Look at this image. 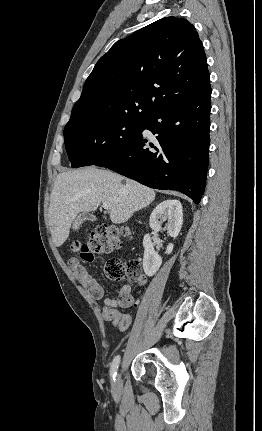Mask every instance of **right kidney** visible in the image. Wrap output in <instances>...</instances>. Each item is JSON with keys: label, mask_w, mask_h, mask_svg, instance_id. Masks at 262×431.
<instances>
[{"label": "right kidney", "mask_w": 262, "mask_h": 431, "mask_svg": "<svg viewBox=\"0 0 262 431\" xmlns=\"http://www.w3.org/2000/svg\"><path fill=\"white\" fill-rule=\"evenodd\" d=\"M167 221V233L175 238L178 236L183 223V210L179 200H165L152 211L150 215V227L154 231H161L162 223ZM144 257L143 269L147 276H153L162 264V258L155 252L149 234L143 239ZM173 244L167 246V254L173 250Z\"/></svg>", "instance_id": "1"}]
</instances>
